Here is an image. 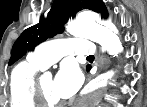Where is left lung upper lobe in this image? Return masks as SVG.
Here are the masks:
<instances>
[{"label": "left lung upper lobe", "instance_id": "obj_1", "mask_svg": "<svg viewBox=\"0 0 147 107\" xmlns=\"http://www.w3.org/2000/svg\"><path fill=\"white\" fill-rule=\"evenodd\" d=\"M83 9L100 13L102 18L108 17L107 8L101 0H54L47 15L41 17L37 24L24 30L15 41L9 65L24 56L27 51H32L38 44L62 33L67 20Z\"/></svg>", "mask_w": 147, "mask_h": 107}]
</instances>
